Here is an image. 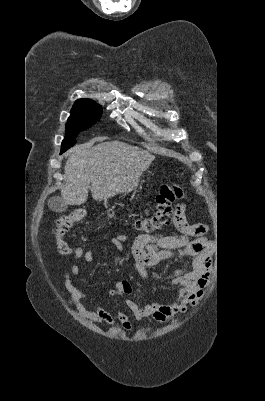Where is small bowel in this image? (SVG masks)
I'll return each instance as SVG.
<instances>
[{
  "mask_svg": "<svg viewBox=\"0 0 265 401\" xmlns=\"http://www.w3.org/2000/svg\"><path fill=\"white\" fill-rule=\"evenodd\" d=\"M174 227L180 235H150L141 234L137 236L131 245V253L135 260V268L139 275L147 279H165L169 285L175 286L178 297L172 305H161L158 303H148L144 306L138 305L132 299L127 298L125 303L134 319L141 320L152 317L158 321H167L181 315L190 307L194 306L203 294L211 268V257L213 246L206 238L208 226L206 224H190L186 218V205L178 204L173 212ZM127 234L105 235L104 241L112 243L120 252L124 251V242ZM74 260L84 258L88 262H94L91 246H80L73 250ZM189 258V262L183 268L174 270L168 274H158L149 272L148 268L162 262ZM79 275V267L73 261L65 270L64 285L71 294L72 299L78 305L83 316L93 323H106L113 325L115 319L121 327L132 332L133 326L129 316L122 310H117L116 317L106 311L101 302L94 310L84 307L83 301L87 298L84 290L72 282V276ZM132 292L130 284L123 280L117 281L108 296L129 295Z\"/></svg>",
  "mask_w": 265,
  "mask_h": 401,
  "instance_id": "c3829d8e",
  "label": "small bowel"
}]
</instances>
